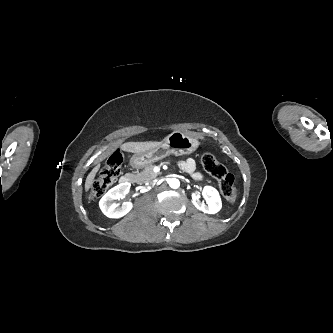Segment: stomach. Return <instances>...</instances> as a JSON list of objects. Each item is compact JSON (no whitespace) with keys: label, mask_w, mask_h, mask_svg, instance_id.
<instances>
[{"label":"stomach","mask_w":333,"mask_h":333,"mask_svg":"<svg viewBox=\"0 0 333 333\" xmlns=\"http://www.w3.org/2000/svg\"><path fill=\"white\" fill-rule=\"evenodd\" d=\"M199 146L197 138L189 136L180 131H174L161 141V145L145 151L136 153L130 159L133 168H143L170 154L184 155L194 152Z\"/></svg>","instance_id":"stomach-1"}]
</instances>
